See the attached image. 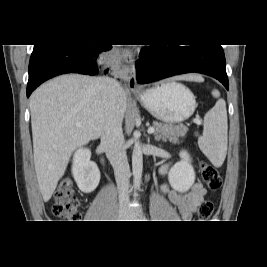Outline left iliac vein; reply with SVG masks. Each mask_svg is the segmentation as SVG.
Here are the masks:
<instances>
[{"mask_svg":"<svg viewBox=\"0 0 267 267\" xmlns=\"http://www.w3.org/2000/svg\"><path fill=\"white\" fill-rule=\"evenodd\" d=\"M131 216L129 217L130 219L137 221L139 219V217L135 214V212L133 210L130 211Z\"/></svg>","mask_w":267,"mask_h":267,"instance_id":"left-iliac-vein-1","label":"left iliac vein"}]
</instances>
